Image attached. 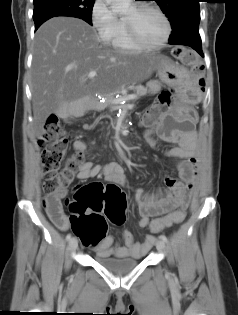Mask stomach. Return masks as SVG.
<instances>
[{
	"instance_id": "stomach-1",
	"label": "stomach",
	"mask_w": 238,
	"mask_h": 315,
	"mask_svg": "<svg viewBox=\"0 0 238 315\" xmlns=\"http://www.w3.org/2000/svg\"><path fill=\"white\" fill-rule=\"evenodd\" d=\"M161 61L156 69L159 80H164L165 84L174 87V91H183L189 105L198 103L201 97L199 93L194 92L197 91V87L192 84L193 72H179L178 67L168 57L162 56ZM177 115L183 116L184 122H193L194 116L199 115V110L189 109L188 105H179Z\"/></svg>"
}]
</instances>
